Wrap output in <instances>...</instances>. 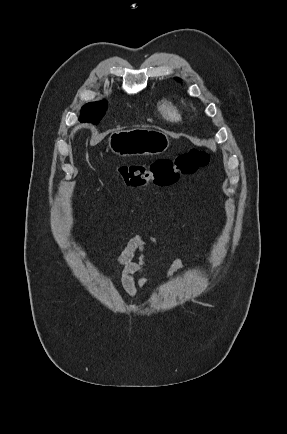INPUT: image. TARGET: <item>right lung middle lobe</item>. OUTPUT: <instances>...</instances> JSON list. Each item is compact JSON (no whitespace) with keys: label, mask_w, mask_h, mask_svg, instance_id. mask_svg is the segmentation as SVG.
Returning <instances> with one entry per match:
<instances>
[{"label":"right lung middle lobe","mask_w":287,"mask_h":434,"mask_svg":"<svg viewBox=\"0 0 287 434\" xmlns=\"http://www.w3.org/2000/svg\"><path fill=\"white\" fill-rule=\"evenodd\" d=\"M106 108L105 101L87 103L81 109L80 120L97 124L104 115Z\"/></svg>","instance_id":"dd1d6c3e"}]
</instances>
